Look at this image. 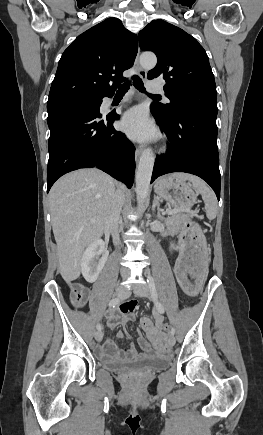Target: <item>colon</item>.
<instances>
[{
    "label": "colon",
    "instance_id": "5ec220e1",
    "mask_svg": "<svg viewBox=\"0 0 263 435\" xmlns=\"http://www.w3.org/2000/svg\"><path fill=\"white\" fill-rule=\"evenodd\" d=\"M87 289L80 283H73L71 285V301L74 306L82 307L87 298ZM164 329V335L170 334L171 324H164L162 326ZM150 341V339H149Z\"/></svg>",
    "mask_w": 263,
    "mask_h": 435
}]
</instances>
